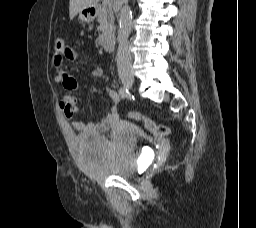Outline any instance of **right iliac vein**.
<instances>
[{
    "instance_id": "1",
    "label": "right iliac vein",
    "mask_w": 256,
    "mask_h": 228,
    "mask_svg": "<svg viewBox=\"0 0 256 228\" xmlns=\"http://www.w3.org/2000/svg\"><path fill=\"white\" fill-rule=\"evenodd\" d=\"M121 80L124 86H126L127 88H132L134 84V77L132 75L125 74L121 77Z\"/></svg>"
}]
</instances>
